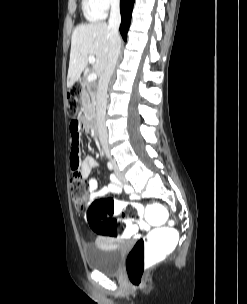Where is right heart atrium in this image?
<instances>
[{"label":"right heart atrium","instance_id":"d8ad5b80","mask_svg":"<svg viewBox=\"0 0 247 304\" xmlns=\"http://www.w3.org/2000/svg\"><path fill=\"white\" fill-rule=\"evenodd\" d=\"M120 0H95L96 5L105 13L117 6Z\"/></svg>","mask_w":247,"mask_h":304}]
</instances>
